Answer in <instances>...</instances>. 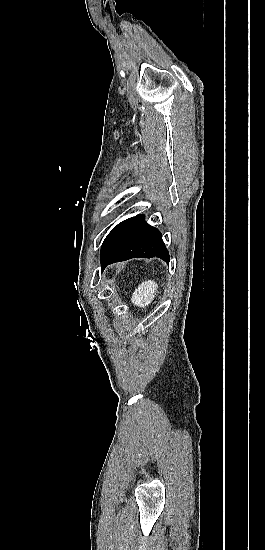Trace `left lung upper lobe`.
I'll list each match as a JSON object with an SVG mask.
<instances>
[{"instance_id":"1","label":"left lung upper lobe","mask_w":265,"mask_h":550,"mask_svg":"<svg viewBox=\"0 0 265 550\" xmlns=\"http://www.w3.org/2000/svg\"><path fill=\"white\" fill-rule=\"evenodd\" d=\"M143 219V215H138L124 220L114 227L102 244L101 257L114 250Z\"/></svg>"}]
</instances>
